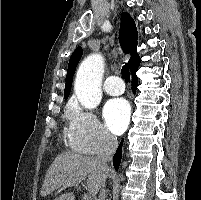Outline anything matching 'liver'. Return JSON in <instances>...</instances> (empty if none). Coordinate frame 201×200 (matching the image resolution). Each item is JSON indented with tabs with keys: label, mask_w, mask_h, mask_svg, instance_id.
<instances>
[{
	"label": "liver",
	"mask_w": 201,
	"mask_h": 200,
	"mask_svg": "<svg viewBox=\"0 0 201 200\" xmlns=\"http://www.w3.org/2000/svg\"><path fill=\"white\" fill-rule=\"evenodd\" d=\"M109 175V170L104 172L95 157L84 156L76 153L64 152L56 156L46 172L41 188V196L45 197L61 187L68 181L78 182V186L87 178V187L91 195H96L102 188ZM55 200H75V193H65Z\"/></svg>",
	"instance_id": "obj_1"
}]
</instances>
